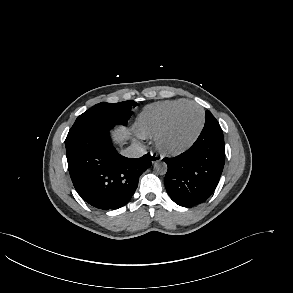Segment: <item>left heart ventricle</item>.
I'll return each mask as SVG.
<instances>
[{
	"instance_id": "1",
	"label": "left heart ventricle",
	"mask_w": 293,
	"mask_h": 293,
	"mask_svg": "<svg viewBox=\"0 0 293 293\" xmlns=\"http://www.w3.org/2000/svg\"><path fill=\"white\" fill-rule=\"evenodd\" d=\"M201 123V113L196 107H185L175 117L163 137L165 147L176 149L187 144L196 134Z\"/></svg>"
}]
</instances>
